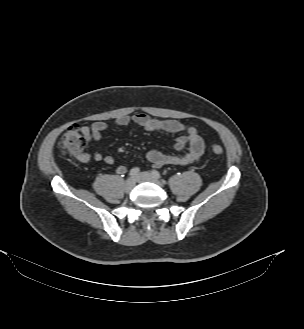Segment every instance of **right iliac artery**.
Masks as SVG:
<instances>
[{"mask_svg": "<svg viewBox=\"0 0 304 329\" xmlns=\"http://www.w3.org/2000/svg\"><path fill=\"white\" fill-rule=\"evenodd\" d=\"M140 169L138 167H134L130 170L129 176L134 177L139 173Z\"/></svg>", "mask_w": 304, "mask_h": 329, "instance_id": "right-iliac-artery-1", "label": "right iliac artery"}]
</instances>
